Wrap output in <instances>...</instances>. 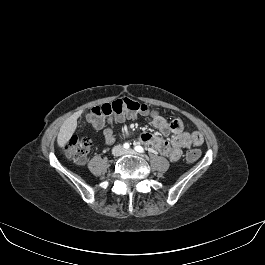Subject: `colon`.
Listing matches in <instances>:
<instances>
[{
    "label": "colon",
    "mask_w": 265,
    "mask_h": 265,
    "mask_svg": "<svg viewBox=\"0 0 265 265\" xmlns=\"http://www.w3.org/2000/svg\"><path fill=\"white\" fill-rule=\"evenodd\" d=\"M153 113L155 112L148 105L129 98H123L91 108L87 114V120L92 125L99 127L108 116H123L128 114L151 115ZM90 149V139L79 138L77 136L71 137L64 145L66 157L78 164H83L86 161ZM200 155L201 153L198 149H190L186 153V159L189 162H194Z\"/></svg>",
    "instance_id": "5ec220e1"
}]
</instances>
